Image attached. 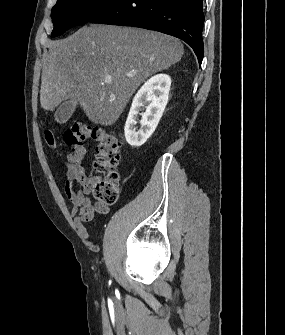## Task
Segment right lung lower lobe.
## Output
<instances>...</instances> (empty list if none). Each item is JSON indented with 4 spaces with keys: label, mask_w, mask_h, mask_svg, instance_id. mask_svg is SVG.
I'll list each match as a JSON object with an SVG mask.
<instances>
[{
    "label": "right lung lower lobe",
    "mask_w": 285,
    "mask_h": 335,
    "mask_svg": "<svg viewBox=\"0 0 285 335\" xmlns=\"http://www.w3.org/2000/svg\"><path fill=\"white\" fill-rule=\"evenodd\" d=\"M88 22L143 27L177 37L194 50L199 65L202 62L203 0H119Z\"/></svg>",
    "instance_id": "right-lung-lower-lobe-1"
}]
</instances>
